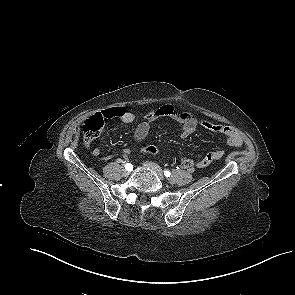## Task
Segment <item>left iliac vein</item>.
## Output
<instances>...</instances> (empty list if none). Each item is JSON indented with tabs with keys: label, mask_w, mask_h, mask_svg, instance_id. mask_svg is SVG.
I'll return each mask as SVG.
<instances>
[{
	"label": "left iliac vein",
	"mask_w": 295,
	"mask_h": 295,
	"mask_svg": "<svg viewBox=\"0 0 295 295\" xmlns=\"http://www.w3.org/2000/svg\"><path fill=\"white\" fill-rule=\"evenodd\" d=\"M144 166L153 170L162 181L165 179L163 176L162 169L157 164L152 162H145Z\"/></svg>",
	"instance_id": "left-iliac-vein-1"
}]
</instances>
